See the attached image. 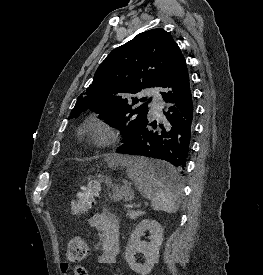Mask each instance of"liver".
Returning <instances> with one entry per match:
<instances>
[{
    "instance_id": "6515ba94",
    "label": "liver",
    "mask_w": 263,
    "mask_h": 275,
    "mask_svg": "<svg viewBox=\"0 0 263 275\" xmlns=\"http://www.w3.org/2000/svg\"><path fill=\"white\" fill-rule=\"evenodd\" d=\"M122 158L116 157L112 162L120 163Z\"/></svg>"
}]
</instances>
